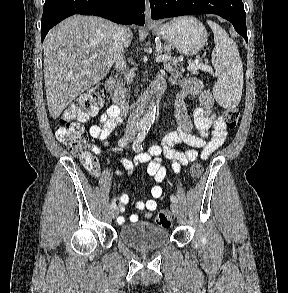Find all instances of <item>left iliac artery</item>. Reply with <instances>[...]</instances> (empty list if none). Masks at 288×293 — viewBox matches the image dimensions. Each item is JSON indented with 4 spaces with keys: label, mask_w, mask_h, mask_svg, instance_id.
Segmentation results:
<instances>
[{
    "label": "left iliac artery",
    "mask_w": 288,
    "mask_h": 293,
    "mask_svg": "<svg viewBox=\"0 0 288 293\" xmlns=\"http://www.w3.org/2000/svg\"><path fill=\"white\" fill-rule=\"evenodd\" d=\"M147 132H148V130H143L141 133H139V134L137 135V137H136V139H135V141H134V143H133V146H132L134 151L139 152V151L142 150V145H141V143H142L143 140L145 139V136H146V133H147ZM170 199H171L172 202H177V201H178L177 198H176V196H174V195H171V196H170Z\"/></svg>",
    "instance_id": "1"
}]
</instances>
